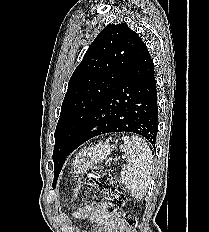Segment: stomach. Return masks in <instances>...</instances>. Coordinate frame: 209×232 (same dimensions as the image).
Returning a JSON list of instances; mask_svg holds the SVG:
<instances>
[{
  "label": "stomach",
  "instance_id": "1",
  "mask_svg": "<svg viewBox=\"0 0 209 232\" xmlns=\"http://www.w3.org/2000/svg\"><path fill=\"white\" fill-rule=\"evenodd\" d=\"M113 148L114 146L106 141L89 146L80 151L73 160L75 174L84 175L89 169H94L98 163L107 159Z\"/></svg>",
  "mask_w": 209,
  "mask_h": 232
}]
</instances>
